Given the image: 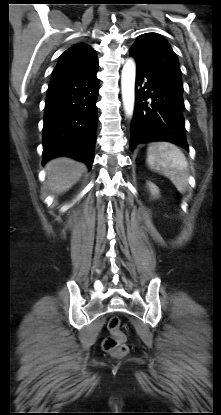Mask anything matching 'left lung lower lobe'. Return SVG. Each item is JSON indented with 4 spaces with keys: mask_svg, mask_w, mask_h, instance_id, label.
<instances>
[{
    "mask_svg": "<svg viewBox=\"0 0 221 415\" xmlns=\"http://www.w3.org/2000/svg\"><path fill=\"white\" fill-rule=\"evenodd\" d=\"M183 88L137 66L130 149L144 142L167 141L188 150Z\"/></svg>",
    "mask_w": 221,
    "mask_h": 415,
    "instance_id": "obj_1",
    "label": "left lung lower lobe"
}]
</instances>
